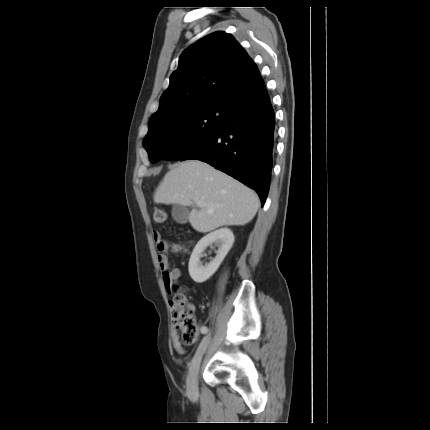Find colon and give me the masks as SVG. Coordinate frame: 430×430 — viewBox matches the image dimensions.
I'll return each instance as SVG.
<instances>
[{"instance_id":"1","label":"colon","mask_w":430,"mask_h":430,"mask_svg":"<svg viewBox=\"0 0 430 430\" xmlns=\"http://www.w3.org/2000/svg\"><path fill=\"white\" fill-rule=\"evenodd\" d=\"M153 218L156 223H164L167 219V214L163 209H156L153 213ZM172 251H183L180 245L172 246ZM165 285V284H164ZM173 291L174 296L170 302L173 327L180 333L181 340L185 345L193 343L197 336V323L194 316L192 305L189 304L184 291L179 290L176 284Z\"/></svg>"}]
</instances>
